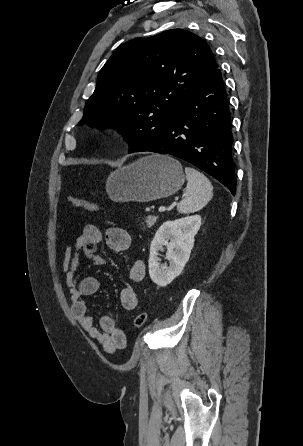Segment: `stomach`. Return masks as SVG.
<instances>
[{"mask_svg":"<svg viewBox=\"0 0 303 446\" xmlns=\"http://www.w3.org/2000/svg\"><path fill=\"white\" fill-rule=\"evenodd\" d=\"M184 181L179 161L152 154L112 172L106 182V191L114 202H149L171 196Z\"/></svg>","mask_w":303,"mask_h":446,"instance_id":"0dacf381","label":"stomach"}]
</instances>
